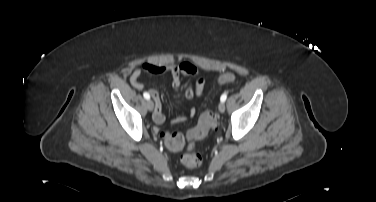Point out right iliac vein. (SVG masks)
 <instances>
[{"mask_svg": "<svg viewBox=\"0 0 376 202\" xmlns=\"http://www.w3.org/2000/svg\"><path fill=\"white\" fill-rule=\"evenodd\" d=\"M147 108H148L149 111H152L153 108H154V103L150 99L147 101Z\"/></svg>", "mask_w": 376, "mask_h": 202, "instance_id": "obj_1", "label": "right iliac vein"}]
</instances>
